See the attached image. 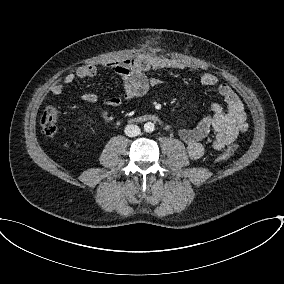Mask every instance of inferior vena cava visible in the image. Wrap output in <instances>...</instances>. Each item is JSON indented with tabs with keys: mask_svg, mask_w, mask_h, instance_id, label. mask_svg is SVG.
I'll return each mask as SVG.
<instances>
[{
	"mask_svg": "<svg viewBox=\"0 0 284 284\" xmlns=\"http://www.w3.org/2000/svg\"><path fill=\"white\" fill-rule=\"evenodd\" d=\"M128 137H135L140 134V128L137 125H127L124 130Z\"/></svg>",
	"mask_w": 284,
	"mask_h": 284,
	"instance_id": "inferior-vena-cava-1",
	"label": "inferior vena cava"
}]
</instances>
